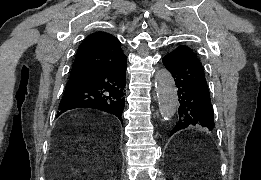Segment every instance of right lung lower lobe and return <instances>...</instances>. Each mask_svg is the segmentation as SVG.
Masks as SVG:
<instances>
[{
  "instance_id": "98d812e1",
  "label": "right lung lower lobe",
  "mask_w": 261,
  "mask_h": 180,
  "mask_svg": "<svg viewBox=\"0 0 261 180\" xmlns=\"http://www.w3.org/2000/svg\"><path fill=\"white\" fill-rule=\"evenodd\" d=\"M64 92L57 115L75 108H93L122 120L125 106L126 61L114 67L96 69Z\"/></svg>"
}]
</instances>
